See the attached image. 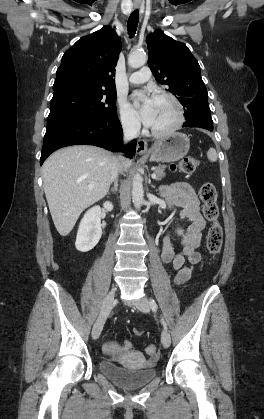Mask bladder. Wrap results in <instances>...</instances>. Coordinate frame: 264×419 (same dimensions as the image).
Instances as JSON below:
<instances>
[{
	"instance_id": "obj_1",
	"label": "bladder",
	"mask_w": 264,
	"mask_h": 419,
	"mask_svg": "<svg viewBox=\"0 0 264 419\" xmlns=\"http://www.w3.org/2000/svg\"><path fill=\"white\" fill-rule=\"evenodd\" d=\"M98 368L103 375L124 389L141 388L156 376L155 368L147 364L139 368H128L109 360H101L98 363Z\"/></svg>"
}]
</instances>
